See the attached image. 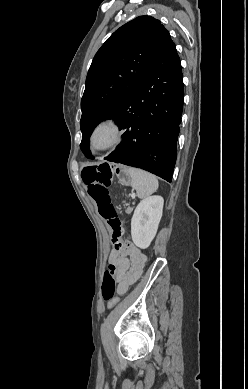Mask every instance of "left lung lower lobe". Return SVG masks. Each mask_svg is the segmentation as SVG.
I'll return each instance as SVG.
<instances>
[{"instance_id":"obj_1","label":"left lung lower lobe","mask_w":248,"mask_h":389,"mask_svg":"<svg viewBox=\"0 0 248 389\" xmlns=\"http://www.w3.org/2000/svg\"><path fill=\"white\" fill-rule=\"evenodd\" d=\"M183 99L182 67L173 43L112 117L126 131L121 144L105 159L171 182Z\"/></svg>"}]
</instances>
